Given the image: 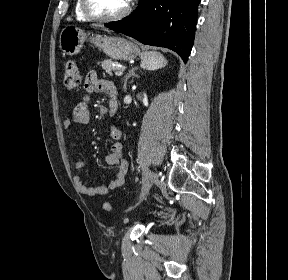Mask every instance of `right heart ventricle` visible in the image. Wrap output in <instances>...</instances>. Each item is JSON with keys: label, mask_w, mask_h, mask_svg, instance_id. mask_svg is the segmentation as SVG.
Instances as JSON below:
<instances>
[{"label": "right heart ventricle", "mask_w": 288, "mask_h": 280, "mask_svg": "<svg viewBox=\"0 0 288 280\" xmlns=\"http://www.w3.org/2000/svg\"><path fill=\"white\" fill-rule=\"evenodd\" d=\"M74 13H75L76 19L79 20V21H83V22H89V21H91V19L88 18V17L83 13L82 8H81V2H80V0H76V1H75Z\"/></svg>", "instance_id": "right-heart-ventricle-1"}]
</instances>
